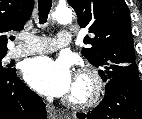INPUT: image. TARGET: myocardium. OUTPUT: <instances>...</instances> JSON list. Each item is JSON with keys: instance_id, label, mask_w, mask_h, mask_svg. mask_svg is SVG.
<instances>
[{"instance_id": "myocardium-1", "label": "myocardium", "mask_w": 142, "mask_h": 119, "mask_svg": "<svg viewBox=\"0 0 142 119\" xmlns=\"http://www.w3.org/2000/svg\"><path fill=\"white\" fill-rule=\"evenodd\" d=\"M75 80L85 85L82 96L68 95L64 102L76 109H89L96 106L104 94V80L101 74L92 67H81L76 71Z\"/></svg>"}]
</instances>
